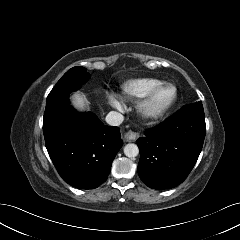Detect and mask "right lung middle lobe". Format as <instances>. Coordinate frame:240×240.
<instances>
[{
	"mask_svg": "<svg viewBox=\"0 0 240 240\" xmlns=\"http://www.w3.org/2000/svg\"><path fill=\"white\" fill-rule=\"evenodd\" d=\"M89 77L90 75L86 72L84 67L77 66L69 69L56 83L54 88L49 93L46 101L50 100L51 98L70 94L71 92L78 90Z\"/></svg>",
	"mask_w": 240,
	"mask_h": 240,
	"instance_id": "1",
	"label": "right lung middle lobe"
}]
</instances>
